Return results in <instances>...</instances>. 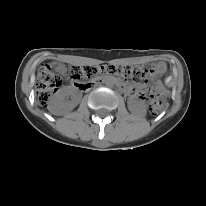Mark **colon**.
<instances>
[{"label":"colon","mask_w":206,"mask_h":206,"mask_svg":"<svg viewBox=\"0 0 206 206\" xmlns=\"http://www.w3.org/2000/svg\"><path fill=\"white\" fill-rule=\"evenodd\" d=\"M100 73L118 74L125 78L133 80H145L149 76L150 70L146 67L133 68L129 66H73L68 71V78L77 83L84 89L88 84L87 81L94 78ZM61 78L55 74L54 69L49 64H43L38 69L37 74V96L40 105L44 106L48 102L50 96L61 85ZM167 102L162 95L150 96V111L158 113L164 110Z\"/></svg>","instance_id":"5ec220e1"}]
</instances>
